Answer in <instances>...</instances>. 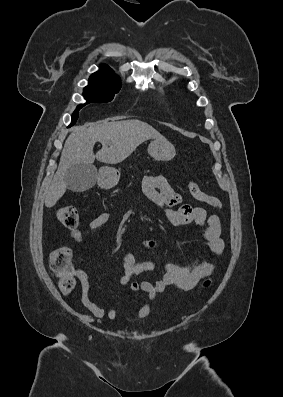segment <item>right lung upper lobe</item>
I'll return each instance as SVG.
<instances>
[{
  "mask_svg": "<svg viewBox=\"0 0 283 397\" xmlns=\"http://www.w3.org/2000/svg\"><path fill=\"white\" fill-rule=\"evenodd\" d=\"M89 81H119V77L107 65L100 66L99 71L93 73Z\"/></svg>",
  "mask_w": 283,
  "mask_h": 397,
  "instance_id": "right-lung-upper-lobe-1",
  "label": "right lung upper lobe"
}]
</instances>
